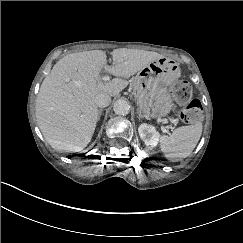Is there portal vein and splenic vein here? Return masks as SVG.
<instances>
[{"label": "portal vein and splenic vein", "mask_w": 243, "mask_h": 243, "mask_svg": "<svg viewBox=\"0 0 243 243\" xmlns=\"http://www.w3.org/2000/svg\"><path fill=\"white\" fill-rule=\"evenodd\" d=\"M104 80H110V77L109 76H105L104 77ZM161 128H162V132L165 133L166 135H169L170 134V131L168 129H166L164 127V125H161Z\"/></svg>", "instance_id": "1"}]
</instances>
